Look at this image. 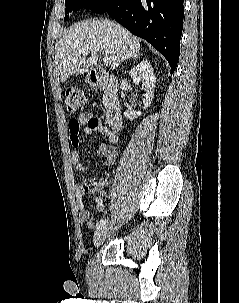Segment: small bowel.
I'll list each match as a JSON object with an SVG mask.
<instances>
[{"label":"small bowel","mask_w":239,"mask_h":303,"mask_svg":"<svg viewBox=\"0 0 239 303\" xmlns=\"http://www.w3.org/2000/svg\"><path fill=\"white\" fill-rule=\"evenodd\" d=\"M90 135L97 133L104 138H107L111 144H102L99 147L98 155L104 159L103 167L106 169L112 166L117 158V148L114 144L117 142V136L111 133L108 128L102 123V121L95 117L92 113L86 112L80 114L77 118H72L68 122L69 139L73 147L80 145V133L81 130ZM72 163L74 168L79 173H84L86 167L81 161L80 153L74 151L72 153ZM107 181L105 179L100 180V187L106 186ZM76 204L79 212V219L85 222L89 228L95 226V221L88 209L83 205V197L86 195V189L84 185L77 184L75 187ZM96 207L99 212H103L105 205L102 200H96Z\"/></svg>","instance_id":"obj_1"}]
</instances>
